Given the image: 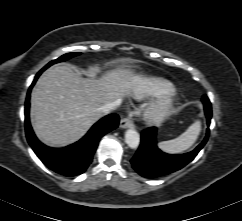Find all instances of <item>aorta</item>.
<instances>
[{"instance_id": "762f6f07", "label": "aorta", "mask_w": 242, "mask_h": 221, "mask_svg": "<svg viewBox=\"0 0 242 221\" xmlns=\"http://www.w3.org/2000/svg\"><path fill=\"white\" fill-rule=\"evenodd\" d=\"M125 142L130 148L136 149L140 143L139 133L134 129H128L125 132Z\"/></svg>"}]
</instances>
